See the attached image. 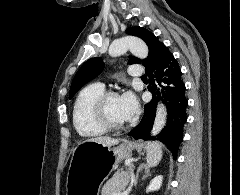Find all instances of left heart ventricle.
<instances>
[{"label": "left heart ventricle", "mask_w": 240, "mask_h": 195, "mask_svg": "<svg viewBox=\"0 0 240 195\" xmlns=\"http://www.w3.org/2000/svg\"><path fill=\"white\" fill-rule=\"evenodd\" d=\"M108 111L111 119L116 122V123H126L127 121L125 120L121 102H120V97L117 98H112L109 102L108 105Z\"/></svg>", "instance_id": "1"}]
</instances>
